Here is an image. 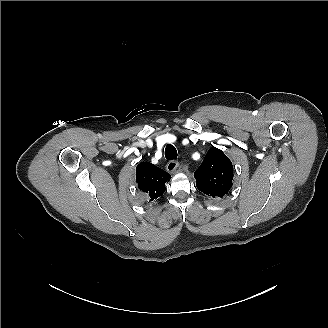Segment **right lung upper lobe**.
<instances>
[{
  "label": "right lung upper lobe",
  "mask_w": 328,
  "mask_h": 328,
  "mask_svg": "<svg viewBox=\"0 0 328 328\" xmlns=\"http://www.w3.org/2000/svg\"><path fill=\"white\" fill-rule=\"evenodd\" d=\"M170 174L149 162H141L136 167L138 188L147 194L149 201L160 197L165 191V183Z\"/></svg>",
  "instance_id": "obj_1"
}]
</instances>
